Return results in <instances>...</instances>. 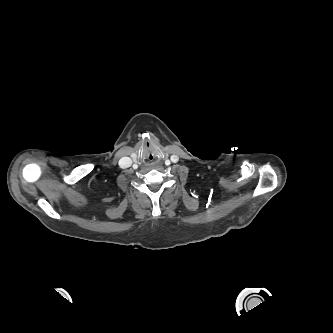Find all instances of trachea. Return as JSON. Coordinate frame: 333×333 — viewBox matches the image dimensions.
Segmentation results:
<instances>
[{"instance_id": "obj_1", "label": "trachea", "mask_w": 333, "mask_h": 333, "mask_svg": "<svg viewBox=\"0 0 333 333\" xmlns=\"http://www.w3.org/2000/svg\"><path fill=\"white\" fill-rule=\"evenodd\" d=\"M150 159H153L152 155H150Z\"/></svg>"}]
</instances>
